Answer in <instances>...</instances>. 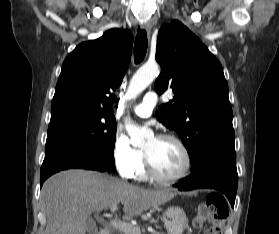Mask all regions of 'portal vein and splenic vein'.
I'll list each match as a JSON object with an SVG mask.
<instances>
[{
    "instance_id": "obj_1",
    "label": "portal vein and splenic vein",
    "mask_w": 279,
    "mask_h": 234,
    "mask_svg": "<svg viewBox=\"0 0 279 234\" xmlns=\"http://www.w3.org/2000/svg\"><path fill=\"white\" fill-rule=\"evenodd\" d=\"M110 209H111V211L114 212V211H116L118 209V205H112L110 207ZM110 224L113 227H115V228H117V229H119V230H121L123 232H126V233H128L130 231H134L132 225H130V224L126 223V222H123V221H111Z\"/></svg>"
}]
</instances>
